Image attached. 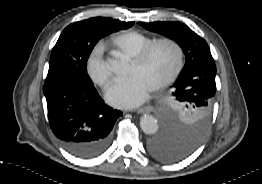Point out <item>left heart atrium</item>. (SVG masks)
<instances>
[{
	"label": "left heart atrium",
	"instance_id": "left-heart-atrium-1",
	"mask_svg": "<svg viewBox=\"0 0 262 184\" xmlns=\"http://www.w3.org/2000/svg\"><path fill=\"white\" fill-rule=\"evenodd\" d=\"M152 89L145 79L134 74L113 84L106 93V100L114 107L134 108L149 98Z\"/></svg>",
	"mask_w": 262,
	"mask_h": 184
}]
</instances>
